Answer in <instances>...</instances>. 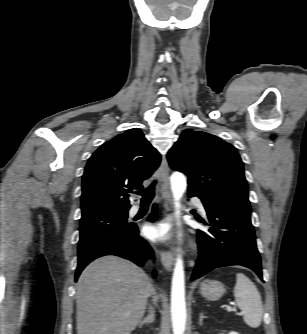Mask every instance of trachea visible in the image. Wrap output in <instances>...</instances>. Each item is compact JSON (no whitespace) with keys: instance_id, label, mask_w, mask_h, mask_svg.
<instances>
[{"instance_id":"1","label":"trachea","mask_w":307,"mask_h":334,"mask_svg":"<svg viewBox=\"0 0 307 334\" xmlns=\"http://www.w3.org/2000/svg\"><path fill=\"white\" fill-rule=\"evenodd\" d=\"M155 184H156V182H154L148 188L137 192L139 195L142 196V199H141L142 203H149V202H151V200L154 197Z\"/></svg>"}]
</instances>
